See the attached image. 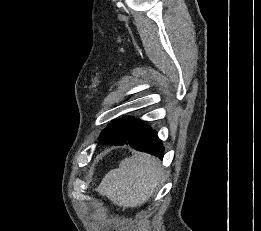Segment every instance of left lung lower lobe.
Listing matches in <instances>:
<instances>
[{
  "label": "left lung lower lobe",
  "instance_id": "1",
  "mask_svg": "<svg viewBox=\"0 0 261 231\" xmlns=\"http://www.w3.org/2000/svg\"><path fill=\"white\" fill-rule=\"evenodd\" d=\"M111 145H123V144H129L134 149L147 152L151 155H154L160 159H163L164 155V147L162 146V143L160 139L157 136L156 131L151 130L150 133L143 139H134L133 137L131 139L124 138L121 140H116L114 142L110 143Z\"/></svg>",
  "mask_w": 261,
  "mask_h": 231
}]
</instances>
